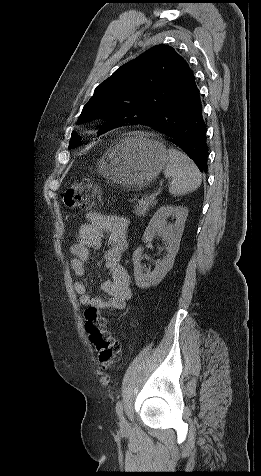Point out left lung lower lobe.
Instances as JSON below:
<instances>
[{"label": "left lung lower lobe", "mask_w": 261, "mask_h": 476, "mask_svg": "<svg viewBox=\"0 0 261 476\" xmlns=\"http://www.w3.org/2000/svg\"><path fill=\"white\" fill-rule=\"evenodd\" d=\"M142 124L165 135L168 141L182 149L198 167L207 172V128L195 79L168 108Z\"/></svg>", "instance_id": "0a47b994"}]
</instances>
